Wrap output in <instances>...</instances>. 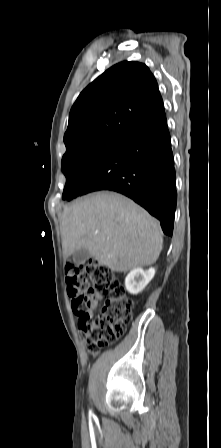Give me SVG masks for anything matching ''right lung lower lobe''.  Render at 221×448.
Segmentation results:
<instances>
[{"mask_svg":"<svg viewBox=\"0 0 221 448\" xmlns=\"http://www.w3.org/2000/svg\"><path fill=\"white\" fill-rule=\"evenodd\" d=\"M122 193L172 236L176 209L173 153L164 107L126 130L82 190Z\"/></svg>","mask_w":221,"mask_h":448,"instance_id":"obj_1","label":"right lung lower lobe"}]
</instances>
